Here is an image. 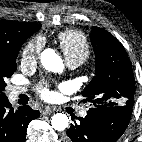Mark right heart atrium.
Returning <instances> with one entry per match:
<instances>
[{"mask_svg":"<svg viewBox=\"0 0 142 142\" xmlns=\"http://www.w3.org/2000/svg\"><path fill=\"white\" fill-rule=\"evenodd\" d=\"M44 46V40L41 37H35L29 40L22 49L21 62L24 65L36 63Z\"/></svg>","mask_w":142,"mask_h":142,"instance_id":"1","label":"right heart atrium"}]
</instances>
